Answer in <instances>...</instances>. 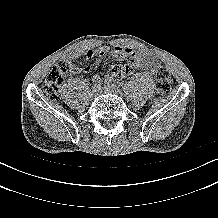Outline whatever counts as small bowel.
Segmentation results:
<instances>
[{
  "instance_id": "obj_1",
  "label": "small bowel",
  "mask_w": 218,
  "mask_h": 218,
  "mask_svg": "<svg viewBox=\"0 0 218 218\" xmlns=\"http://www.w3.org/2000/svg\"><path fill=\"white\" fill-rule=\"evenodd\" d=\"M107 53H111V55L117 60H128L123 65L124 73L120 77H126L132 74L136 68L152 74L156 71L158 65V60L153 54L147 51H136L132 48L121 46H115L113 48L100 46L88 49L84 52L76 51L64 56L63 59L69 64L70 70L73 73H77L79 71L88 73L91 71L92 67L90 65H86L85 67L80 68L75 62L76 59L83 54L88 60L96 59V63H98ZM95 78L100 77L96 76Z\"/></svg>"
}]
</instances>
